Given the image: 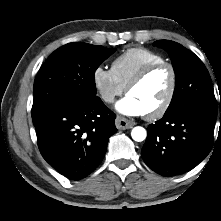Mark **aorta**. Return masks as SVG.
<instances>
[{
	"label": "aorta",
	"mask_w": 221,
	"mask_h": 221,
	"mask_svg": "<svg viewBox=\"0 0 221 221\" xmlns=\"http://www.w3.org/2000/svg\"><path fill=\"white\" fill-rule=\"evenodd\" d=\"M131 136L134 141L141 142L146 139L147 132L143 127L137 126L132 129Z\"/></svg>",
	"instance_id": "762f6f07"
}]
</instances>
